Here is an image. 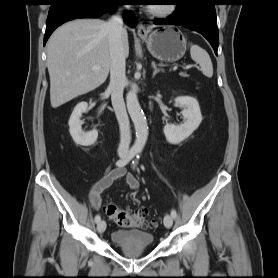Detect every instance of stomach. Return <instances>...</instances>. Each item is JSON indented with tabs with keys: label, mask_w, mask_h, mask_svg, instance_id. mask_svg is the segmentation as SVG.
Returning a JSON list of instances; mask_svg holds the SVG:
<instances>
[{
	"label": "stomach",
	"mask_w": 278,
	"mask_h": 278,
	"mask_svg": "<svg viewBox=\"0 0 278 278\" xmlns=\"http://www.w3.org/2000/svg\"><path fill=\"white\" fill-rule=\"evenodd\" d=\"M146 42L151 55L160 61L176 62L186 52V39L182 32L174 27L155 30L149 36H140Z\"/></svg>",
	"instance_id": "obj_1"
}]
</instances>
